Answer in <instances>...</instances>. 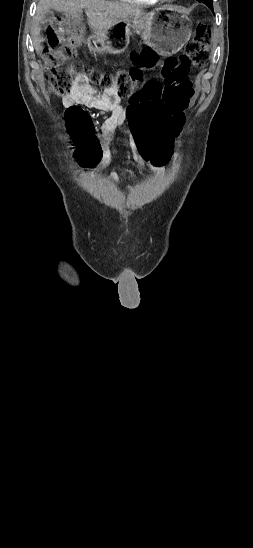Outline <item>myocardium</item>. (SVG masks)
Instances as JSON below:
<instances>
[{
  "label": "myocardium",
  "mask_w": 253,
  "mask_h": 548,
  "mask_svg": "<svg viewBox=\"0 0 253 548\" xmlns=\"http://www.w3.org/2000/svg\"><path fill=\"white\" fill-rule=\"evenodd\" d=\"M158 1H162V2H171L173 0H158Z\"/></svg>",
  "instance_id": "myocardium-1"
}]
</instances>
